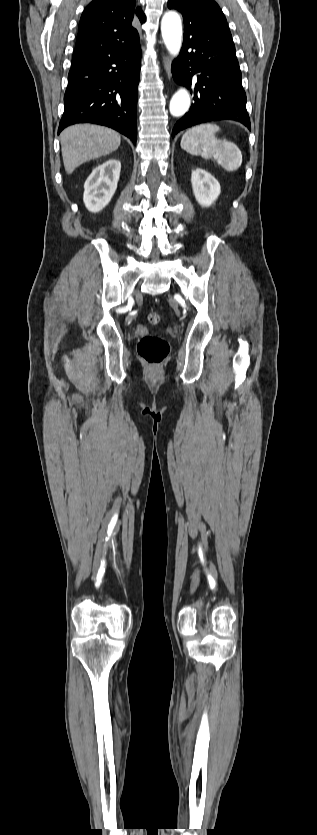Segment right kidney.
<instances>
[{"instance_id":"1","label":"right kidney","mask_w":317,"mask_h":835,"mask_svg":"<svg viewBox=\"0 0 317 835\" xmlns=\"http://www.w3.org/2000/svg\"><path fill=\"white\" fill-rule=\"evenodd\" d=\"M121 163L109 159L93 169L84 184L83 201L91 212L101 211L112 199L120 176Z\"/></svg>"}]
</instances>
